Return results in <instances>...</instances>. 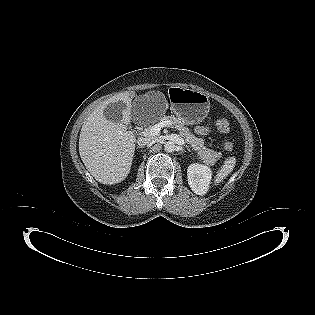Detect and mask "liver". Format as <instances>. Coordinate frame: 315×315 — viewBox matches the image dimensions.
Returning <instances> with one entry per match:
<instances>
[{"mask_svg": "<svg viewBox=\"0 0 315 315\" xmlns=\"http://www.w3.org/2000/svg\"><path fill=\"white\" fill-rule=\"evenodd\" d=\"M122 101L125 105L120 123L104 117V108ZM131 99L122 93L98 105L84 121L79 137V154L96 181L112 185L123 181L131 170L136 138L127 131L131 119Z\"/></svg>", "mask_w": 315, "mask_h": 315, "instance_id": "obj_1", "label": "liver"}]
</instances>
